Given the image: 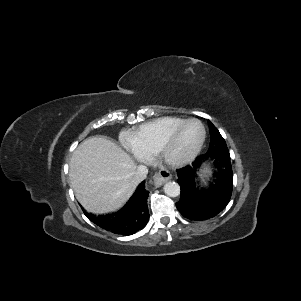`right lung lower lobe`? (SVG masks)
I'll return each mask as SVG.
<instances>
[{
    "mask_svg": "<svg viewBox=\"0 0 301 301\" xmlns=\"http://www.w3.org/2000/svg\"><path fill=\"white\" fill-rule=\"evenodd\" d=\"M148 191L142 182L128 203L117 213L95 216L85 215L99 227L114 234L129 236L143 229L149 220Z\"/></svg>",
    "mask_w": 301,
    "mask_h": 301,
    "instance_id": "98d812e1",
    "label": "right lung lower lobe"
}]
</instances>
